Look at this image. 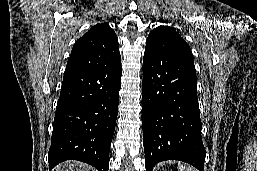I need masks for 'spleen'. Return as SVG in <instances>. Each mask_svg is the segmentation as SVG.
<instances>
[{"mask_svg": "<svg viewBox=\"0 0 257 171\" xmlns=\"http://www.w3.org/2000/svg\"><path fill=\"white\" fill-rule=\"evenodd\" d=\"M179 171H196L193 167L187 164H178Z\"/></svg>", "mask_w": 257, "mask_h": 171, "instance_id": "3e777b00", "label": "spleen"}]
</instances>
